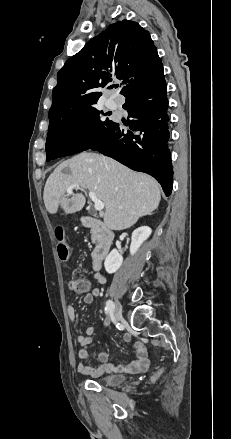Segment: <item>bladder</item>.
Segmentation results:
<instances>
[{"instance_id": "31cf9c89", "label": "bladder", "mask_w": 231, "mask_h": 439, "mask_svg": "<svg viewBox=\"0 0 231 439\" xmlns=\"http://www.w3.org/2000/svg\"><path fill=\"white\" fill-rule=\"evenodd\" d=\"M126 377L121 374H109L102 376L98 379V382L107 386H117L125 381Z\"/></svg>"}]
</instances>
